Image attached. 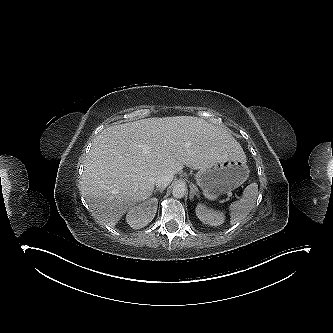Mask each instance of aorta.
Listing matches in <instances>:
<instances>
[{
    "instance_id": "aorta-1",
    "label": "aorta",
    "mask_w": 333,
    "mask_h": 333,
    "mask_svg": "<svg viewBox=\"0 0 333 333\" xmlns=\"http://www.w3.org/2000/svg\"><path fill=\"white\" fill-rule=\"evenodd\" d=\"M186 194V187L183 184H176L172 188V195L175 198H182Z\"/></svg>"
}]
</instances>
